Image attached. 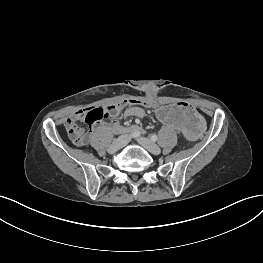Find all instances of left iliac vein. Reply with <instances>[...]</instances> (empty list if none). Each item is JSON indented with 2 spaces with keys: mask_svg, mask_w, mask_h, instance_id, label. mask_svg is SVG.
Returning <instances> with one entry per match:
<instances>
[{
  "mask_svg": "<svg viewBox=\"0 0 263 263\" xmlns=\"http://www.w3.org/2000/svg\"><path fill=\"white\" fill-rule=\"evenodd\" d=\"M138 143L143 146L147 151L158 155L161 153L160 147L155 144L152 140L145 138V137H139L137 138Z\"/></svg>",
  "mask_w": 263,
  "mask_h": 263,
  "instance_id": "4c4485c4",
  "label": "left iliac vein"
}]
</instances>
